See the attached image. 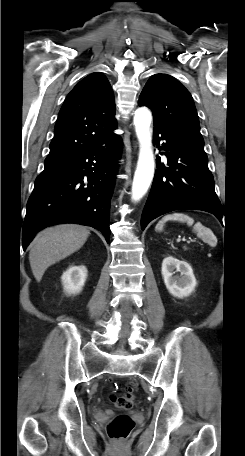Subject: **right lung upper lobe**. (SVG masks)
<instances>
[{
  "mask_svg": "<svg viewBox=\"0 0 245 456\" xmlns=\"http://www.w3.org/2000/svg\"><path fill=\"white\" fill-rule=\"evenodd\" d=\"M115 101L107 78L92 73L68 94L55 124L44 165L62 163L90 148L116 128Z\"/></svg>",
  "mask_w": 245,
  "mask_h": 456,
  "instance_id": "cb5924a9",
  "label": "right lung upper lobe"
}]
</instances>
